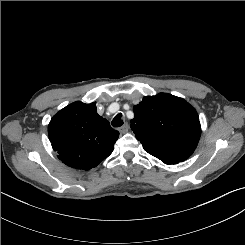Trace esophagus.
Returning a JSON list of instances; mask_svg holds the SVG:
<instances>
[{
    "label": "esophagus",
    "mask_w": 245,
    "mask_h": 245,
    "mask_svg": "<svg viewBox=\"0 0 245 245\" xmlns=\"http://www.w3.org/2000/svg\"><path fill=\"white\" fill-rule=\"evenodd\" d=\"M128 131V124L125 123L123 126L119 128L120 133H126Z\"/></svg>",
    "instance_id": "34e87169"
}]
</instances>
